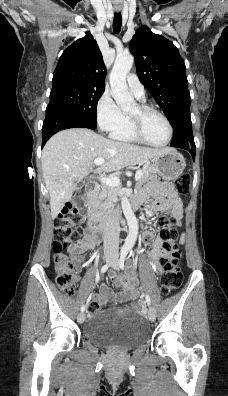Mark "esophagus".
<instances>
[{"instance_id": "esophagus-1", "label": "esophagus", "mask_w": 228, "mask_h": 396, "mask_svg": "<svg viewBox=\"0 0 228 396\" xmlns=\"http://www.w3.org/2000/svg\"><path fill=\"white\" fill-rule=\"evenodd\" d=\"M121 10V8L120 7H116V11H120Z\"/></svg>"}]
</instances>
